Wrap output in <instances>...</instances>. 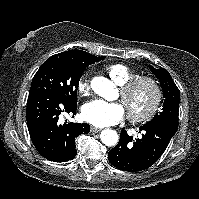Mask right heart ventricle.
<instances>
[{
  "instance_id": "right-heart-ventricle-1",
  "label": "right heart ventricle",
  "mask_w": 199,
  "mask_h": 199,
  "mask_svg": "<svg viewBox=\"0 0 199 199\" xmlns=\"http://www.w3.org/2000/svg\"><path fill=\"white\" fill-rule=\"evenodd\" d=\"M110 78L118 85H122L131 78L137 76V72L131 67L122 63H113L105 68Z\"/></svg>"
}]
</instances>
